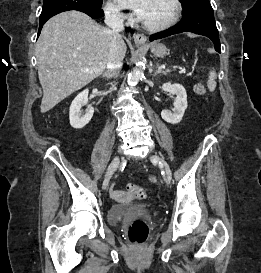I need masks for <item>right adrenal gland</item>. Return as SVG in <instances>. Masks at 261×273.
Returning a JSON list of instances; mask_svg holds the SVG:
<instances>
[{"mask_svg":"<svg viewBox=\"0 0 261 273\" xmlns=\"http://www.w3.org/2000/svg\"><path fill=\"white\" fill-rule=\"evenodd\" d=\"M103 77H106L107 79H110L112 77V75L108 71H106V72L103 73Z\"/></svg>","mask_w":261,"mask_h":273,"instance_id":"obj_1","label":"right adrenal gland"}]
</instances>
